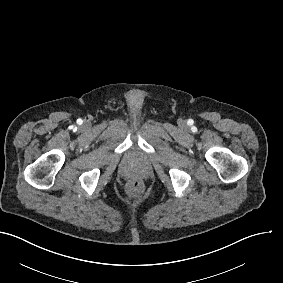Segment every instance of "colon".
I'll return each instance as SVG.
<instances>
[{
  "mask_svg": "<svg viewBox=\"0 0 283 283\" xmlns=\"http://www.w3.org/2000/svg\"><path fill=\"white\" fill-rule=\"evenodd\" d=\"M137 186H138V183H136V182H133V183H132V187H133V188H137Z\"/></svg>",
  "mask_w": 283,
  "mask_h": 283,
  "instance_id": "colon-1",
  "label": "colon"
}]
</instances>
